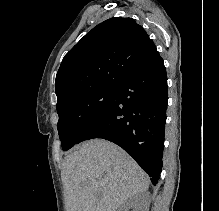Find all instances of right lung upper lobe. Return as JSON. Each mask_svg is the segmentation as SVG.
<instances>
[{
	"label": "right lung upper lobe",
	"mask_w": 219,
	"mask_h": 211,
	"mask_svg": "<svg viewBox=\"0 0 219 211\" xmlns=\"http://www.w3.org/2000/svg\"><path fill=\"white\" fill-rule=\"evenodd\" d=\"M160 55L132 18H110L87 33L63 58L56 75L57 104L99 86H116Z\"/></svg>",
	"instance_id": "1"
}]
</instances>
